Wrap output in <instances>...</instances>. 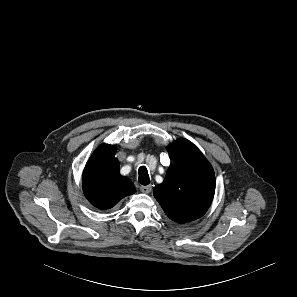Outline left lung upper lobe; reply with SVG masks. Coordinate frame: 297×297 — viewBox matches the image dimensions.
<instances>
[{"mask_svg":"<svg viewBox=\"0 0 297 297\" xmlns=\"http://www.w3.org/2000/svg\"><path fill=\"white\" fill-rule=\"evenodd\" d=\"M173 164L163 183L153 194L165 214L177 223H186L203 216L215 193L212 166L200 150L186 139H177L168 146Z\"/></svg>","mask_w":297,"mask_h":297,"instance_id":"5c2ea615","label":"left lung upper lobe"}]
</instances>
